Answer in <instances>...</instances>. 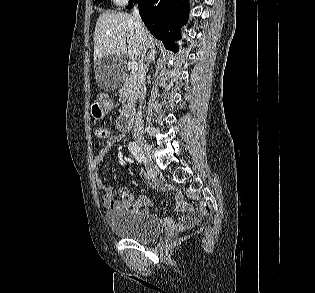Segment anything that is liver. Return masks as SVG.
Here are the masks:
<instances>
[{
    "label": "liver",
    "mask_w": 315,
    "mask_h": 293,
    "mask_svg": "<svg viewBox=\"0 0 315 293\" xmlns=\"http://www.w3.org/2000/svg\"><path fill=\"white\" fill-rule=\"evenodd\" d=\"M144 46L150 52H155L154 38L146 28ZM109 54L118 57L127 54L130 59L137 60L139 65V44L132 15L105 12L99 16L94 31V58L98 62Z\"/></svg>",
    "instance_id": "1"
}]
</instances>
